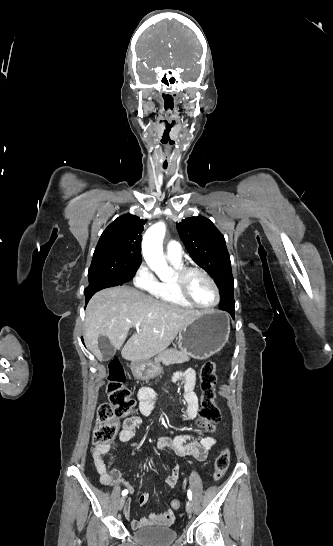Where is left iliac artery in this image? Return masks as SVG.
Here are the masks:
<instances>
[{"mask_svg":"<svg viewBox=\"0 0 333 546\" xmlns=\"http://www.w3.org/2000/svg\"><path fill=\"white\" fill-rule=\"evenodd\" d=\"M187 496H188V499L191 501L192 500V492H191L190 489L187 492Z\"/></svg>","mask_w":333,"mask_h":546,"instance_id":"obj_1","label":"left iliac artery"}]
</instances>
